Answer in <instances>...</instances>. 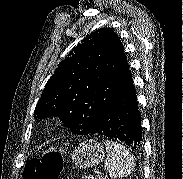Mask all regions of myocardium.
I'll return each mask as SVG.
<instances>
[{
  "label": "myocardium",
  "mask_w": 183,
  "mask_h": 179,
  "mask_svg": "<svg viewBox=\"0 0 183 179\" xmlns=\"http://www.w3.org/2000/svg\"><path fill=\"white\" fill-rule=\"evenodd\" d=\"M57 124V120L56 119H49L48 121H47V125L48 126H54V125H56Z\"/></svg>",
  "instance_id": "1"
}]
</instances>
